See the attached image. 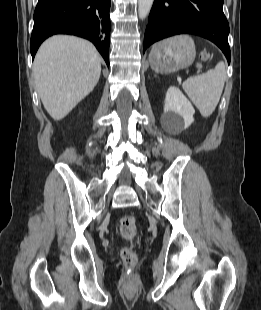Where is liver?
<instances>
[{
    "mask_svg": "<svg viewBox=\"0 0 261 310\" xmlns=\"http://www.w3.org/2000/svg\"><path fill=\"white\" fill-rule=\"evenodd\" d=\"M33 73L44 108L54 120H61L98 83L101 58L89 41L56 35L39 48Z\"/></svg>",
    "mask_w": 261,
    "mask_h": 310,
    "instance_id": "liver-1",
    "label": "liver"
}]
</instances>
